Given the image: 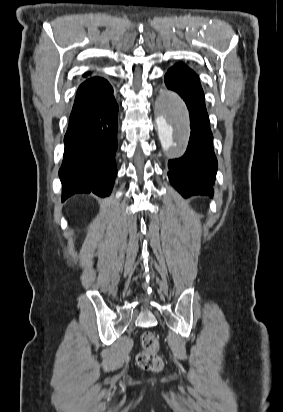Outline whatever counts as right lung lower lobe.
Returning a JSON list of instances; mask_svg holds the SVG:
<instances>
[{
    "label": "right lung lower lobe",
    "instance_id": "right-lung-lower-lobe-1",
    "mask_svg": "<svg viewBox=\"0 0 283 412\" xmlns=\"http://www.w3.org/2000/svg\"><path fill=\"white\" fill-rule=\"evenodd\" d=\"M118 105L107 80L92 77L78 90L64 137L59 177L62 201L78 193L105 197L117 174Z\"/></svg>",
    "mask_w": 283,
    "mask_h": 412
}]
</instances>
